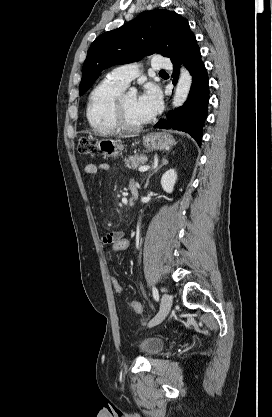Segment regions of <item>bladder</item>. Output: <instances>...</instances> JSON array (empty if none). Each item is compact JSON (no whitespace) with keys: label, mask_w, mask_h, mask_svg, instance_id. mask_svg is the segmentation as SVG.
Segmentation results:
<instances>
[{"label":"bladder","mask_w":272,"mask_h":417,"mask_svg":"<svg viewBox=\"0 0 272 417\" xmlns=\"http://www.w3.org/2000/svg\"><path fill=\"white\" fill-rule=\"evenodd\" d=\"M163 348L164 341L160 338H145L138 343L139 351L148 358L158 355L159 353H161Z\"/></svg>","instance_id":"31cf9c89"}]
</instances>
